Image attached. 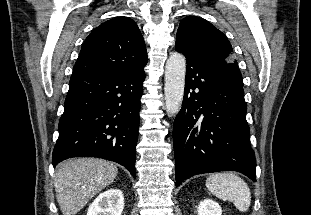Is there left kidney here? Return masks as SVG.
I'll list each match as a JSON object with an SVG mask.
<instances>
[{"mask_svg": "<svg viewBox=\"0 0 311 215\" xmlns=\"http://www.w3.org/2000/svg\"><path fill=\"white\" fill-rule=\"evenodd\" d=\"M197 211L198 215H222V209L220 205L210 199L201 201Z\"/></svg>", "mask_w": 311, "mask_h": 215, "instance_id": "5707ae66", "label": "left kidney"}]
</instances>
